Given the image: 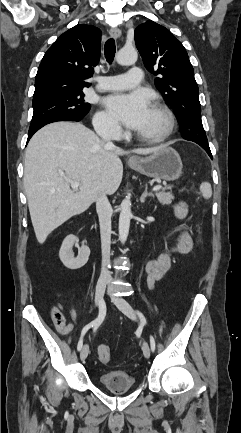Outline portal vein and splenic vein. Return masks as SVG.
I'll list each match as a JSON object with an SVG mask.
<instances>
[{
    "label": "portal vein and splenic vein",
    "mask_w": 241,
    "mask_h": 433,
    "mask_svg": "<svg viewBox=\"0 0 241 433\" xmlns=\"http://www.w3.org/2000/svg\"><path fill=\"white\" fill-rule=\"evenodd\" d=\"M66 179V181L71 185V187H72V189L73 190H76V189H78V187L80 186V183L78 182V181H74V180H71V179H67V178H65ZM162 189V186L161 185H157V186H154L153 187V191H159V190H161Z\"/></svg>",
    "instance_id": "portal-vein-and-splenic-vein-1"
}]
</instances>
